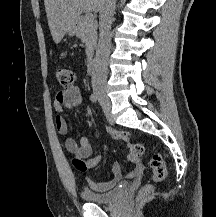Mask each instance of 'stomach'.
<instances>
[{
    "instance_id": "0dacf381",
    "label": "stomach",
    "mask_w": 216,
    "mask_h": 217,
    "mask_svg": "<svg viewBox=\"0 0 216 217\" xmlns=\"http://www.w3.org/2000/svg\"><path fill=\"white\" fill-rule=\"evenodd\" d=\"M67 32L70 36H73L76 33V26H72Z\"/></svg>"
}]
</instances>
